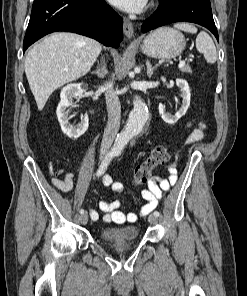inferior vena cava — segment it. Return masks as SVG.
I'll use <instances>...</instances> for the list:
<instances>
[{
  "label": "inferior vena cava",
  "mask_w": 247,
  "mask_h": 296,
  "mask_svg": "<svg viewBox=\"0 0 247 296\" xmlns=\"http://www.w3.org/2000/svg\"><path fill=\"white\" fill-rule=\"evenodd\" d=\"M104 89L108 112V122L103 134L101 152H107L111 148L120 127L121 118L120 101L116 91L113 89V84L111 82H107L104 85Z\"/></svg>",
  "instance_id": "inferior-vena-cava-1"
}]
</instances>
